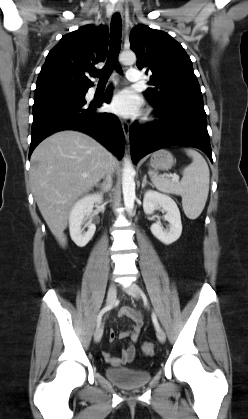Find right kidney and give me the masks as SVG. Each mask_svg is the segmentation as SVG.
Segmentation results:
<instances>
[{
  "mask_svg": "<svg viewBox=\"0 0 248 419\" xmlns=\"http://www.w3.org/2000/svg\"><path fill=\"white\" fill-rule=\"evenodd\" d=\"M102 194H90L77 201L69 214V230L71 239L79 247H84L92 239L96 226L89 221L87 232H82L81 226L93 211L94 204L102 202Z\"/></svg>",
  "mask_w": 248,
  "mask_h": 419,
  "instance_id": "right-kidney-1",
  "label": "right kidney"
}]
</instances>
